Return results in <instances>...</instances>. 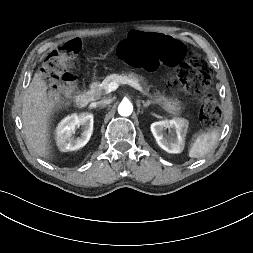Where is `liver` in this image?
I'll list each match as a JSON object with an SVG mask.
<instances>
[{
	"instance_id": "obj_1",
	"label": "liver",
	"mask_w": 253,
	"mask_h": 253,
	"mask_svg": "<svg viewBox=\"0 0 253 253\" xmlns=\"http://www.w3.org/2000/svg\"><path fill=\"white\" fill-rule=\"evenodd\" d=\"M54 106L45 81L40 74L35 73L23 98L22 122L28 143L42 158H48L51 151L49 121Z\"/></svg>"
}]
</instances>
